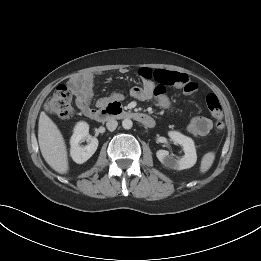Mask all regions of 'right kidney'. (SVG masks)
Masks as SVG:
<instances>
[{
	"mask_svg": "<svg viewBox=\"0 0 261 261\" xmlns=\"http://www.w3.org/2000/svg\"><path fill=\"white\" fill-rule=\"evenodd\" d=\"M86 140L88 144L81 146L80 143ZM70 155L72 159L82 164L86 162L97 150L98 139L89 135V125L86 122H78L74 128V133L70 140Z\"/></svg>",
	"mask_w": 261,
	"mask_h": 261,
	"instance_id": "1",
	"label": "right kidney"
}]
</instances>
